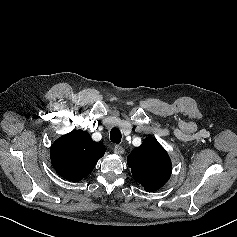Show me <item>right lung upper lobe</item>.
<instances>
[{
  "mask_svg": "<svg viewBox=\"0 0 237 237\" xmlns=\"http://www.w3.org/2000/svg\"><path fill=\"white\" fill-rule=\"evenodd\" d=\"M104 152V146L93 141L88 132L73 130L53 143L50 157L63 178L78 182L92 172Z\"/></svg>",
  "mask_w": 237,
  "mask_h": 237,
  "instance_id": "1",
  "label": "right lung upper lobe"
}]
</instances>
